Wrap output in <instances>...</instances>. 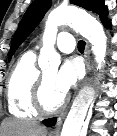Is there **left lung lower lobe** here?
I'll list each match as a JSON object with an SVG mask.
<instances>
[{
    "mask_svg": "<svg viewBox=\"0 0 117 136\" xmlns=\"http://www.w3.org/2000/svg\"><path fill=\"white\" fill-rule=\"evenodd\" d=\"M102 23L104 24V26L106 28H108V26H110L107 19L104 20ZM55 122H56V119H50V120L45 121L44 123H45L46 126L51 127V126H53L55 124Z\"/></svg>",
    "mask_w": 117,
    "mask_h": 136,
    "instance_id": "obj_1",
    "label": "left lung lower lobe"
}]
</instances>
